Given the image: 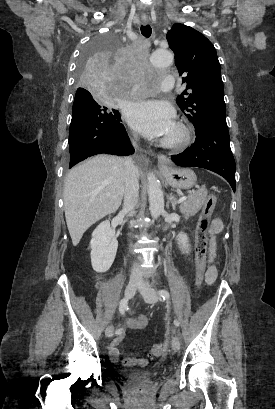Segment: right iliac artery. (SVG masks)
<instances>
[{
  "mask_svg": "<svg viewBox=\"0 0 275 409\" xmlns=\"http://www.w3.org/2000/svg\"><path fill=\"white\" fill-rule=\"evenodd\" d=\"M128 309V300L126 298L122 299L119 305V312L124 314L125 311ZM122 329H118L116 333H121Z\"/></svg>",
  "mask_w": 275,
  "mask_h": 409,
  "instance_id": "right-iliac-artery-1",
  "label": "right iliac artery"
}]
</instances>
